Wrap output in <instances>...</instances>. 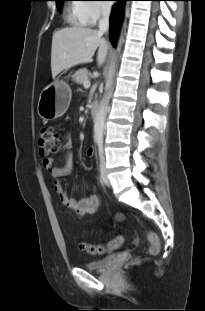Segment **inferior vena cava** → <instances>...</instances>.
<instances>
[{"label": "inferior vena cava", "mask_w": 205, "mask_h": 311, "mask_svg": "<svg viewBox=\"0 0 205 311\" xmlns=\"http://www.w3.org/2000/svg\"><path fill=\"white\" fill-rule=\"evenodd\" d=\"M109 16H110V9L102 8L101 9V18L99 20V33H105L109 29Z\"/></svg>", "instance_id": "1"}]
</instances>
